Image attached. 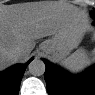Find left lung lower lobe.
I'll return each instance as SVG.
<instances>
[{"instance_id": "obj_1", "label": "left lung lower lobe", "mask_w": 95, "mask_h": 95, "mask_svg": "<svg viewBox=\"0 0 95 95\" xmlns=\"http://www.w3.org/2000/svg\"><path fill=\"white\" fill-rule=\"evenodd\" d=\"M93 17L95 15L93 14ZM46 71L44 74L47 89L55 95H94L95 67L89 68L80 75H71L64 70L44 60Z\"/></svg>"}]
</instances>
